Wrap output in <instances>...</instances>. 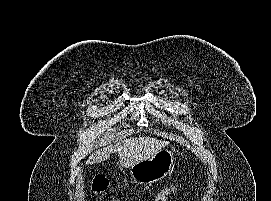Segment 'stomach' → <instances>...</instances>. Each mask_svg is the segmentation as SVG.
Returning a JSON list of instances; mask_svg holds the SVG:
<instances>
[{
	"label": "stomach",
	"mask_w": 271,
	"mask_h": 201,
	"mask_svg": "<svg viewBox=\"0 0 271 201\" xmlns=\"http://www.w3.org/2000/svg\"><path fill=\"white\" fill-rule=\"evenodd\" d=\"M174 153L162 149L152 157L131 166V177L139 184H152L165 178L174 166Z\"/></svg>",
	"instance_id": "stomach-1"
}]
</instances>
